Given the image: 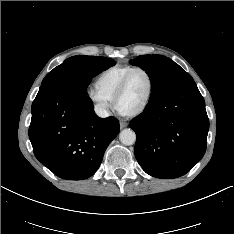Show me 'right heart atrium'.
<instances>
[{"instance_id": "d8ad5b80", "label": "right heart atrium", "mask_w": 234, "mask_h": 234, "mask_svg": "<svg viewBox=\"0 0 234 234\" xmlns=\"http://www.w3.org/2000/svg\"><path fill=\"white\" fill-rule=\"evenodd\" d=\"M86 96L102 114H107L112 106V100L107 97L97 85H91L86 89Z\"/></svg>"}]
</instances>
